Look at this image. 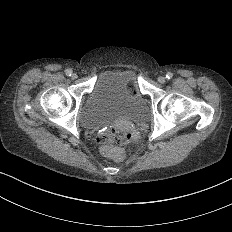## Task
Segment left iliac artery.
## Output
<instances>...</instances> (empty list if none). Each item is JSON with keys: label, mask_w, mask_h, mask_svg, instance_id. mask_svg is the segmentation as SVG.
Segmentation results:
<instances>
[{"label": "left iliac artery", "mask_w": 232, "mask_h": 232, "mask_svg": "<svg viewBox=\"0 0 232 232\" xmlns=\"http://www.w3.org/2000/svg\"><path fill=\"white\" fill-rule=\"evenodd\" d=\"M172 77H173L172 72H168V73L166 74V79L170 80V79H172Z\"/></svg>", "instance_id": "1"}]
</instances>
